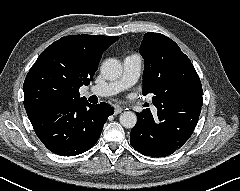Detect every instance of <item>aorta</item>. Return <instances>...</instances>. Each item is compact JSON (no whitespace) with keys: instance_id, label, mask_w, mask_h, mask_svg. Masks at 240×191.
<instances>
[{"instance_id":"1","label":"aorta","mask_w":240,"mask_h":191,"mask_svg":"<svg viewBox=\"0 0 240 191\" xmlns=\"http://www.w3.org/2000/svg\"><path fill=\"white\" fill-rule=\"evenodd\" d=\"M123 67L119 60L109 58L102 63L101 74L107 80H116L120 78ZM120 123L125 128H133L137 123V116L134 112L125 111L120 115Z\"/></svg>"}]
</instances>
